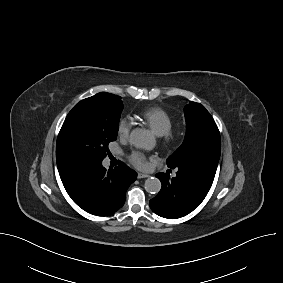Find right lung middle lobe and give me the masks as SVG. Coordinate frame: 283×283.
<instances>
[{
  "label": "right lung middle lobe",
  "mask_w": 283,
  "mask_h": 283,
  "mask_svg": "<svg viewBox=\"0 0 283 283\" xmlns=\"http://www.w3.org/2000/svg\"><path fill=\"white\" fill-rule=\"evenodd\" d=\"M123 103L101 92L77 103L67 115L56 143L58 170L77 161H102L118 134Z\"/></svg>",
  "instance_id": "1"
}]
</instances>
